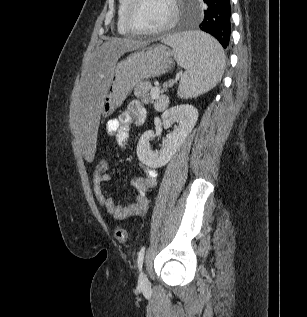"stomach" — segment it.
I'll list each match as a JSON object with an SVG mask.
<instances>
[{
  "mask_svg": "<svg viewBox=\"0 0 307 317\" xmlns=\"http://www.w3.org/2000/svg\"><path fill=\"white\" fill-rule=\"evenodd\" d=\"M173 52L156 44L142 47L116 64L101 104V113L109 116L141 81L167 73L173 63Z\"/></svg>",
  "mask_w": 307,
  "mask_h": 317,
  "instance_id": "0dacf381",
  "label": "stomach"
}]
</instances>
